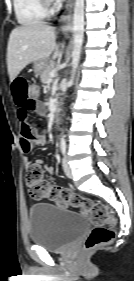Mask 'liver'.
I'll return each mask as SVG.
<instances>
[{
  "mask_svg": "<svg viewBox=\"0 0 134 281\" xmlns=\"http://www.w3.org/2000/svg\"><path fill=\"white\" fill-rule=\"evenodd\" d=\"M55 28L43 22H34L15 28L9 37L7 47V68L10 81L30 63L48 60L59 54L55 42Z\"/></svg>",
  "mask_w": 134,
  "mask_h": 281,
  "instance_id": "6515ba94",
  "label": "liver"
}]
</instances>
